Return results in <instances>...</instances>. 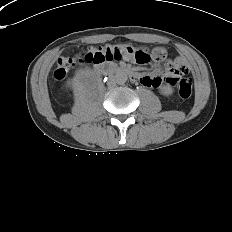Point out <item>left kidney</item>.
I'll return each mask as SVG.
<instances>
[{
  "label": "left kidney",
  "instance_id": "1",
  "mask_svg": "<svg viewBox=\"0 0 232 232\" xmlns=\"http://www.w3.org/2000/svg\"><path fill=\"white\" fill-rule=\"evenodd\" d=\"M160 92L165 96H169L173 93V89L170 86H162L160 87Z\"/></svg>",
  "mask_w": 232,
  "mask_h": 232
}]
</instances>
